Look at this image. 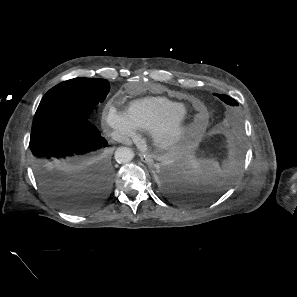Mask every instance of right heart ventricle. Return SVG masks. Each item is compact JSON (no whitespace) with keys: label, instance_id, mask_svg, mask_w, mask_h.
Returning a JSON list of instances; mask_svg holds the SVG:
<instances>
[{"label":"right heart ventricle","instance_id":"1","mask_svg":"<svg viewBox=\"0 0 297 297\" xmlns=\"http://www.w3.org/2000/svg\"><path fill=\"white\" fill-rule=\"evenodd\" d=\"M187 112L186 105L166 97H144L130 103L127 115L141 131H150L158 123Z\"/></svg>","mask_w":297,"mask_h":297}]
</instances>
